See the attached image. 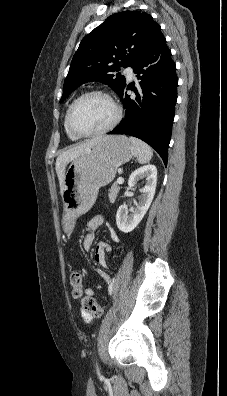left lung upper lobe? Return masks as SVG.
<instances>
[{"mask_svg":"<svg viewBox=\"0 0 227 396\" xmlns=\"http://www.w3.org/2000/svg\"><path fill=\"white\" fill-rule=\"evenodd\" d=\"M163 34L150 14L124 11L108 17L85 36L74 57L64 82L60 102L77 87L99 81L109 85L118 95L126 87L121 67L134 62Z\"/></svg>","mask_w":227,"mask_h":396,"instance_id":"left-lung-upper-lobe-1","label":"left lung upper lobe"}]
</instances>
